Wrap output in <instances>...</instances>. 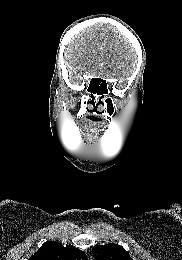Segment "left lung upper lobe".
I'll list each match as a JSON object with an SVG mask.
<instances>
[{"mask_svg":"<svg viewBox=\"0 0 182 260\" xmlns=\"http://www.w3.org/2000/svg\"><path fill=\"white\" fill-rule=\"evenodd\" d=\"M92 253L95 260H132L122 246L112 243L96 245Z\"/></svg>","mask_w":182,"mask_h":260,"instance_id":"5c2ea615","label":"left lung upper lobe"}]
</instances>
